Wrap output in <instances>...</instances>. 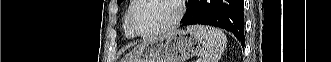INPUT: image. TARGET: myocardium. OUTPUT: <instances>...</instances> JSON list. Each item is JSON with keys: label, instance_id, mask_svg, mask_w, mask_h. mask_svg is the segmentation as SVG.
<instances>
[{"label": "myocardium", "instance_id": "1", "mask_svg": "<svg viewBox=\"0 0 331 62\" xmlns=\"http://www.w3.org/2000/svg\"><path fill=\"white\" fill-rule=\"evenodd\" d=\"M141 1H143V0H134L133 4L129 10V13H128V25H129L131 32L135 36L148 38V37H153V36L162 34L164 32H167V31L175 28L180 23V21L183 17V14H184L183 1L182 0H173L177 7V14H176L175 18L170 23L166 24L165 26H163L159 29L142 32V31L138 30V28L135 26L134 17H133L134 12H135L136 8L138 7V5L141 3Z\"/></svg>", "mask_w": 331, "mask_h": 62}]
</instances>
